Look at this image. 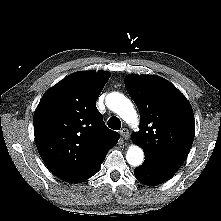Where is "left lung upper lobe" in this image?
Segmentation results:
<instances>
[{
	"instance_id": "1",
	"label": "left lung upper lobe",
	"mask_w": 221,
	"mask_h": 221,
	"mask_svg": "<svg viewBox=\"0 0 221 221\" xmlns=\"http://www.w3.org/2000/svg\"><path fill=\"white\" fill-rule=\"evenodd\" d=\"M125 87L140 115V131L133 140L145 161L177 171L190 151L195 124L192 107L169 81L157 75H131Z\"/></svg>"
}]
</instances>
